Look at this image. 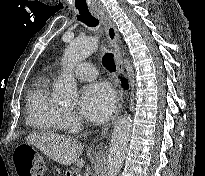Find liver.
Here are the masks:
<instances>
[{
	"instance_id": "6515ba94",
	"label": "liver",
	"mask_w": 205,
	"mask_h": 176,
	"mask_svg": "<svg viewBox=\"0 0 205 176\" xmlns=\"http://www.w3.org/2000/svg\"><path fill=\"white\" fill-rule=\"evenodd\" d=\"M27 141L60 164L75 163L79 168L85 164V161L79 158L83 152L82 144L71 137H62L53 133H34L27 137Z\"/></svg>"
}]
</instances>
